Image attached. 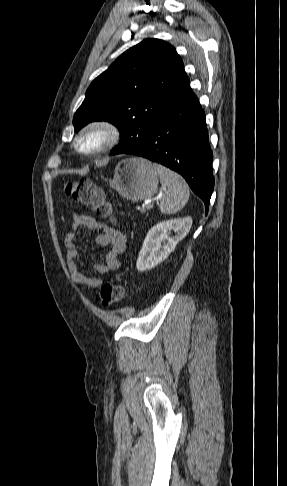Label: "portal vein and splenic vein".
<instances>
[{
  "label": "portal vein and splenic vein",
  "mask_w": 287,
  "mask_h": 486,
  "mask_svg": "<svg viewBox=\"0 0 287 486\" xmlns=\"http://www.w3.org/2000/svg\"><path fill=\"white\" fill-rule=\"evenodd\" d=\"M152 205H151V201H145L143 204H142V208H150Z\"/></svg>",
  "instance_id": "18ae733b"
}]
</instances>
